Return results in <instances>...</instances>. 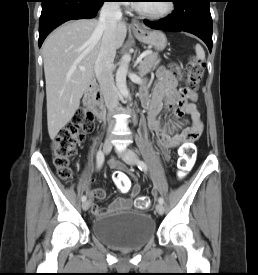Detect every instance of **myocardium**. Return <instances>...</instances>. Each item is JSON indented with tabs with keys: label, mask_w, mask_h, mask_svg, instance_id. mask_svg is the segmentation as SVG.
Segmentation results:
<instances>
[{
	"label": "myocardium",
	"mask_w": 258,
	"mask_h": 275,
	"mask_svg": "<svg viewBox=\"0 0 258 275\" xmlns=\"http://www.w3.org/2000/svg\"><path fill=\"white\" fill-rule=\"evenodd\" d=\"M135 9L139 14H141L144 17H147L149 19L158 20V19H163V18L169 16L170 14H172L175 10V3L173 0H168L167 8L163 12L158 13V14L148 12V11L142 9L138 4L135 5Z\"/></svg>",
	"instance_id": "obj_1"
}]
</instances>
